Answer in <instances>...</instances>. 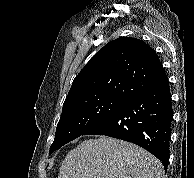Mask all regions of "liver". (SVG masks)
<instances>
[{
	"instance_id": "liver-1",
	"label": "liver",
	"mask_w": 194,
	"mask_h": 178,
	"mask_svg": "<svg viewBox=\"0 0 194 178\" xmlns=\"http://www.w3.org/2000/svg\"><path fill=\"white\" fill-rule=\"evenodd\" d=\"M161 162L141 147L100 136L65 157L58 178H163Z\"/></svg>"
}]
</instances>
